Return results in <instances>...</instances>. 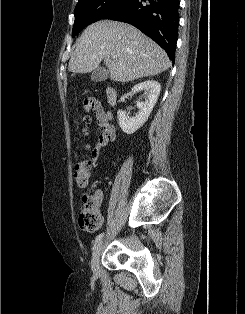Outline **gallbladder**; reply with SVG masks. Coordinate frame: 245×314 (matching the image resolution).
<instances>
[{
	"mask_svg": "<svg viewBox=\"0 0 245 314\" xmlns=\"http://www.w3.org/2000/svg\"><path fill=\"white\" fill-rule=\"evenodd\" d=\"M109 76V71L105 67H98L91 73V80L94 82L105 81Z\"/></svg>",
	"mask_w": 245,
	"mask_h": 314,
	"instance_id": "obj_1",
	"label": "gallbladder"
}]
</instances>
